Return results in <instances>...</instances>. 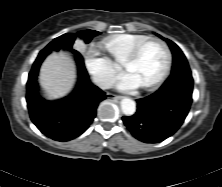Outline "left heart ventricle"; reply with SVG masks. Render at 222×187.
Instances as JSON below:
<instances>
[{"mask_svg":"<svg viewBox=\"0 0 222 187\" xmlns=\"http://www.w3.org/2000/svg\"><path fill=\"white\" fill-rule=\"evenodd\" d=\"M166 63V53L157 43L148 44L140 57L128 65L126 72L134 77L140 86L154 82L162 74Z\"/></svg>","mask_w":222,"mask_h":187,"instance_id":"b2bd125f","label":"left heart ventricle"}]
</instances>
